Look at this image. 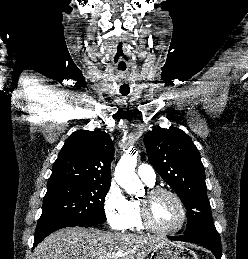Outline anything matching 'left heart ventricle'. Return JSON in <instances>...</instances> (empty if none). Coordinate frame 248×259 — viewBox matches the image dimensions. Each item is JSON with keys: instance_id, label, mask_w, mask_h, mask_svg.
Here are the masks:
<instances>
[{"instance_id": "left-heart-ventricle-1", "label": "left heart ventricle", "mask_w": 248, "mask_h": 259, "mask_svg": "<svg viewBox=\"0 0 248 259\" xmlns=\"http://www.w3.org/2000/svg\"><path fill=\"white\" fill-rule=\"evenodd\" d=\"M152 218L163 230L176 228L181 220V211L176 201L168 195H160L151 204Z\"/></svg>"}]
</instances>
